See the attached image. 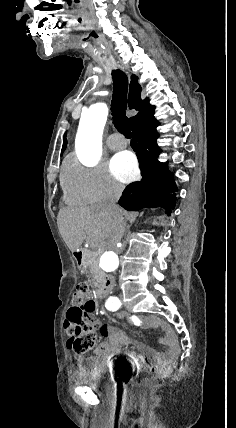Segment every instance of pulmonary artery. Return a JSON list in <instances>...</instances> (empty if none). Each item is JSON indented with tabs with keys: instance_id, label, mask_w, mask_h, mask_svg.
Instances as JSON below:
<instances>
[{
	"instance_id": "pulmonary-artery-1",
	"label": "pulmonary artery",
	"mask_w": 236,
	"mask_h": 428,
	"mask_svg": "<svg viewBox=\"0 0 236 428\" xmlns=\"http://www.w3.org/2000/svg\"><path fill=\"white\" fill-rule=\"evenodd\" d=\"M127 146V142H122V143H109V147L113 150H120L123 149Z\"/></svg>"
}]
</instances>
